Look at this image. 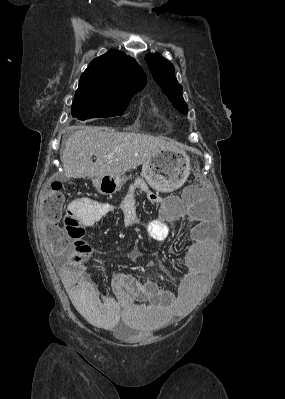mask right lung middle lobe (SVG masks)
<instances>
[{
  "label": "right lung middle lobe",
  "instance_id": "1",
  "mask_svg": "<svg viewBox=\"0 0 285 399\" xmlns=\"http://www.w3.org/2000/svg\"><path fill=\"white\" fill-rule=\"evenodd\" d=\"M134 93L110 97H74L72 116L79 120L119 116L126 110Z\"/></svg>",
  "mask_w": 285,
  "mask_h": 399
}]
</instances>
